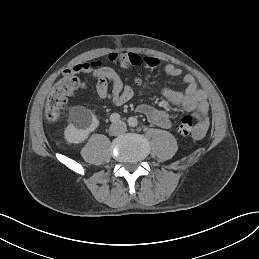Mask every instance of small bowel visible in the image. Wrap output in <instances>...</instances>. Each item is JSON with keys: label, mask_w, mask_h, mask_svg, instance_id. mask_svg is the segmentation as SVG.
<instances>
[{"label": "small bowel", "mask_w": 259, "mask_h": 259, "mask_svg": "<svg viewBox=\"0 0 259 259\" xmlns=\"http://www.w3.org/2000/svg\"><path fill=\"white\" fill-rule=\"evenodd\" d=\"M113 64L127 68L133 66H144L155 69L159 65V60L155 57L144 56L136 53H113L109 56ZM166 74L178 77L182 70L173 64L164 67ZM66 74L85 73L96 81V91L100 98L113 101L116 105L127 103L134 95L133 89L124 85L119 74L110 66L104 65L101 61H90L74 65L68 68ZM185 87L182 90L165 88L162 91L163 97L174 105L192 113L197 119L196 130L193 137L202 138L209 128V103L207 95L199 89L193 76L186 74L183 76ZM137 111L144 115L149 122L161 128L171 127V121L166 111L147 104H141Z\"/></svg>", "instance_id": "c3829d8e"}]
</instances>
